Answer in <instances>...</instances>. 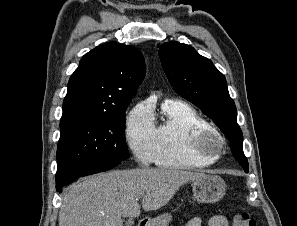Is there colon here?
I'll return each mask as SVG.
<instances>
[{"mask_svg": "<svg viewBox=\"0 0 297 226\" xmlns=\"http://www.w3.org/2000/svg\"><path fill=\"white\" fill-rule=\"evenodd\" d=\"M234 226H256V222L249 214L239 212L235 215Z\"/></svg>", "mask_w": 297, "mask_h": 226, "instance_id": "5ec220e1", "label": "colon"}]
</instances>
